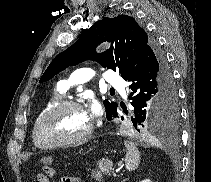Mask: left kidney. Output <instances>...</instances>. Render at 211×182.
I'll return each instance as SVG.
<instances>
[{
  "mask_svg": "<svg viewBox=\"0 0 211 182\" xmlns=\"http://www.w3.org/2000/svg\"><path fill=\"white\" fill-rule=\"evenodd\" d=\"M140 182H152L150 179H145V180H142Z\"/></svg>",
  "mask_w": 211,
  "mask_h": 182,
  "instance_id": "5707ae66",
  "label": "left kidney"
}]
</instances>
